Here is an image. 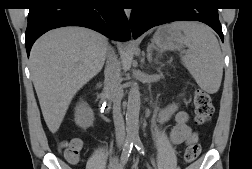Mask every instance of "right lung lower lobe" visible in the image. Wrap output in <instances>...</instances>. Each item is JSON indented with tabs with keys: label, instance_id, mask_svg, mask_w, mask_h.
Returning <instances> with one entry per match:
<instances>
[{
	"label": "right lung lower lobe",
	"instance_id": "1",
	"mask_svg": "<svg viewBox=\"0 0 252 169\" xmlns=\"http://www.w3.org/2000/svg\"><path fill=\"white\" fill-rule=\"evenodd\" d=\"M62 26H83L117 41L130 40V27L120 0H36L30 7L25 45Z\"/></svg>",
	"mask_w": 252,
	"mask_h": 169
}]
</instances>
